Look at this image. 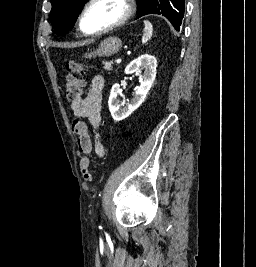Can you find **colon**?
Listing matches in <instances>:
<instances>
[{
	"label": "colon",
	"mask_w": 256,
	"mask_h": 267,
	"mask_svg": "<svg viewBox=\"0 0 256 267\" xmlns=\"http://www.w3.org/2000/svg\"><path fill=\"white\" fill-rule=\"evenodd\" d=\"M68 72L67 76V98L68 101H75L79 98L82 87L83 78L85 75L84 63L81 61H71L65 64ZM72 132L78 136V144L80 150L84 154H89L91 151V137L88 132L87 125L83 118L75 117L71 124ZM81 171L86 182H90L92 178V164L88 157H83L81 160Z\"/></svg>",
	"instance_id": "1"
}]
</instances>
